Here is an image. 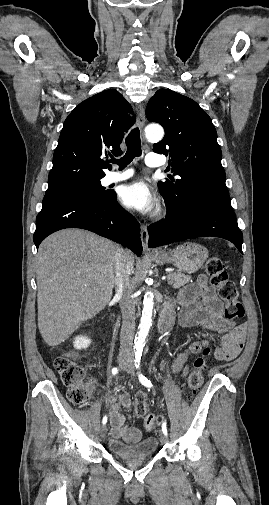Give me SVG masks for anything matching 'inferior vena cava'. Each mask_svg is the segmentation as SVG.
Instances as JSON below:
<instances>
[{
  "instance_id": "obj_1",
  "label": "inferior vena cava",
  "mask_w": 269,
  "mask_h": 505,
  "mask_svg": "<svg viewBox=\"0 0 269 505\" xmlns=\"http://www.w3.org/2000/svg\"><path fill=\"white\" fill-rule=\"evenodd\" d=\"M115 262V289L121 297L120 306L122 311V329L120 337V348L130 352L133 345V335L135 329V300L133 298L132 286L129 280V267L125 251L118 247L114 257Z\"/></svg>"
}]
</instances>
